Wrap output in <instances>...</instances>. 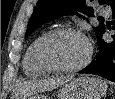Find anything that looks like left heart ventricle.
I'll use <instances>...</instances> for the list:
<instances>
[{
	"instance_id": "1",
	"label": "left heart ventricle",
	"mask_w": 115,
	"mask_h": 99,
	"mask_svg": "<svg viewBox=\"0 0 115 99\" xmlns=\"http://www.w3.org/2000/svg\"><path fill=\"white\" fill-rule=\"evenodd\" d=\"M85 40L77 35L66 34L53 39L46 47L48 58L59 66H73L86 56Z\"/></svg>"
}]
</instances>
